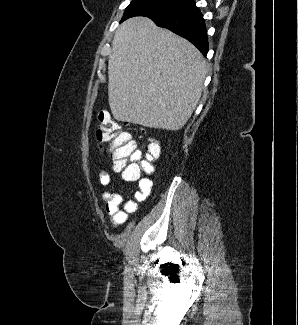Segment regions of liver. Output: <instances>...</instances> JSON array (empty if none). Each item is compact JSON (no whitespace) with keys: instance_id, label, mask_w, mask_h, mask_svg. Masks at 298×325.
Wrapping results in <instances>:
<instances>
[{"instance_id":"obj_1","label":"liver","mask_w":298,"mask_h":325,"mask_svg":"<svg viewBox=\"0 0 298 325\" xmlns=\"http://www.w3.org/2000/svg\"><path fill=\"white\" fill-rule=\"evenodd\" d=\"M203 54L186 38L133 16L115 30L108 60V102L116 120L179 130L206 78Z\"/></svg>"}]
</instances>
